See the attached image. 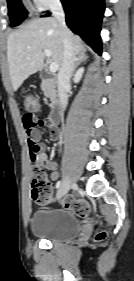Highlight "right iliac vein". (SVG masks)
Segmentation results:
<instances>
[{"label":"right iliac vein","mask_w":134,"mask_h":281,"mask_svg":"<svg viewBox=\"0 0 134 281\" xmlns=\"http://www.w3.org/2000/svg\"><path fill=\"white\" fill-rule=\"evenodd\" d=\"M73 185L74 182L72 181V179L70 177H67L63 184L60 186L56 195V199H60L61 197H63Z\"/></svg>","instance_id":"obj_1"}]
</instances>
